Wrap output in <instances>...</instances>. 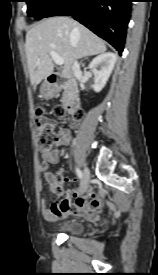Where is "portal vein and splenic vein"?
Segmentation results:
<instances>
[{
	"label": "portal vein and splenic vein",
	"instance_id": "1",
	"mask_svg": "<svg viewBox=\"0 0 158 275\" xmlns=\"http://www.w3.org/2000/svg\"><path fill=\"white\" fill-rule=\"evenodd\" d=\"M51 58L54 60V62L57 65H63L64 60L62 57H60L55 51H50Z\"/></svg>",
	"mask_w": 158,
	"mask_h": 275
}]
</instances>
